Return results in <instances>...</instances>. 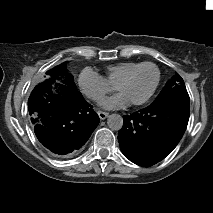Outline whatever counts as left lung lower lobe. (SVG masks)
<instances>
[{"label": "left lung lower lobe", "mask_w": 213, "mask_h": 213, "mask_svg": "<svg viewBox=\"0 0 213 213\" xmlns=\"http://www.w3.org/2000/svg\"><path fill=\"white\" fill-rule=\"evenodd\" d=\"M190 100L167 96L123 117L118 133L122 153L133 163L151 166L179 143L189 120Z\"/></svg>", "instance_id": "0a47b994"}]
</instances>
